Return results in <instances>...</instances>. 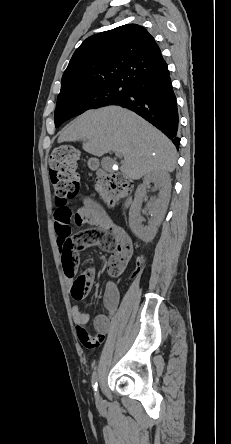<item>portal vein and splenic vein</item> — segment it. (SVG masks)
I'll return each instance as SVG.
<instances>
[{
  "label": "portal vein and splenic vein",
  "instance_id": "portal-vein-and-splenic-vein-1",
  "mask_svg": "<svg viewBox=\"0 0 231 444\" xmlns=\"http://www.w3.org/2000/svg\"><path fill=\"white\" fill-rule=\"evenodd\" d=\"M115 155H116V156H118V157H120V156H121V154H120V153H118V152H117V153H115Z\"/></svg>",
  "mask_w": 231,
  "mask_h": 444
}]
</instances>
